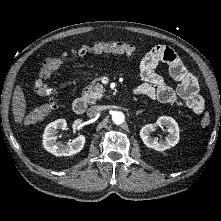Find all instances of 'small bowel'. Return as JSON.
I'll use <instances>...</instances> for the list:
<instances>
[{
	"instance_id": "c3829d8e",
	"label": "small bowel",
	"mask_w": 221,
	"mask_h": 221,
	"mask_svg": "<svg viewBox=\"0 0 221 221\" xmlns=\"http://www.w3.org/2000/svg\"><path fill=\"white\" fill-rule=\"evenodd\" d=\"M160 63H166L172 78L178 82L174 89L168 86L156 72ZM140 71L146 82L135 89L136 95L148 96L161 103H178L195 114L204 111V100L199 95L200 82L197 76L187 70L179 56L168 46L153 47L142 59Z\"/></svg>"
}]
</instances>
